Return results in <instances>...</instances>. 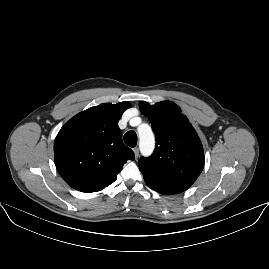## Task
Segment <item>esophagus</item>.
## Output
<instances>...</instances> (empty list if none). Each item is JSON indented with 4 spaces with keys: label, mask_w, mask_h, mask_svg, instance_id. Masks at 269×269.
Segmentation results:
<instances>
[{
    "label": "esophagus",
    "mask_w": 269,
    "mask_h": 269,
    "mask_svg": "<svg viewBox=\"0 0 269 269\" xmlns=\"http://www.w3.org/2000/svg\"><path fill=\"white\" fill-rule=\"evenodd\" d=\"M133 151H134V154H135V159L137 160V158L139 157V149L137 147H135L133 149Z\"/></svg>",
    "instance_id": "obj_1"
}]
</instances>
